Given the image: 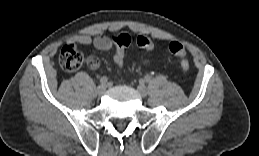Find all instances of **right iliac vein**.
<instances>
[{"mask_svg":"<svg viewBox=\"0 0 259 156\" xmlns=\"http://www.w3.org/2000/svg\"><path fill=\"white\" fill-rule=\"evenodd\" d=\"M105 91H106V85L105 84H101L97 87V93L99 95H102Z\"/></svg>","mask_w":259,"mask_h":156,"instance_id":"63e3f726","label":"right iliac vein"}]
</instances>
